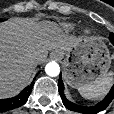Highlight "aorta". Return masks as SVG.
<instances>
[{
	"label": "aorta",
	"mask_w": 114,
	"mask_h": 114,
	"mask_svg": "<svg viewBox=\"0 0 114 114\" xmlns=\"http://www.w3.org/2000/svg\"><path fill=\"white\" fill-rule=\"evenodd\" d=\"M45 72L51 77H55L60 73V67L56 62H49L45 67Z\"/></svg>",
	"instance_id": "762f6f07"
}]
</instances>
